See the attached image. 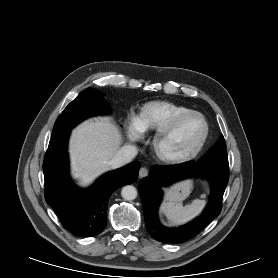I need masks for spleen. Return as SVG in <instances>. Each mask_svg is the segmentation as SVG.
I'll return each mask as SVG.
<instances>
[{"instance_id":"obj_1","label":"spleen","mask_w":278,"mask_h":278,"mask_svg":"<svg viewBox=\"0 0 278 278\" xmlns=\"http://www.w3.org/2000/svg\"><path fill=\"white\" fill-rule=\"evenodd\" d=\"M205 197V195H202ZM204 200L195 199L191 204L182 206L181 203L165 202L162 205V211L169 222L173 224H184L197 216L204 208Z\"/></svg>"}]
</instances>
